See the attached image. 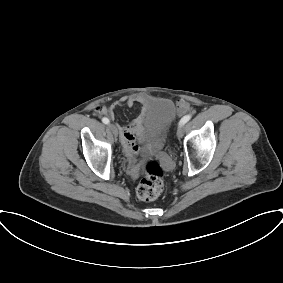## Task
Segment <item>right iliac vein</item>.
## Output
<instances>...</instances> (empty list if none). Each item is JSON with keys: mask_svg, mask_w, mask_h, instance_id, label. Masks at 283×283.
Here are the masks:
<instances>
[{"mask_svg": "<svg viewBox=\"0 0 283 283\" xmlns=\"http://www.w3.org/2000/svg\"><path fill=\"white\" fill-rule=\"evenodd\" d=\"M108 129L113 133L115 137L118 135V129L114 124H108Z\"/></svg>", "mask_w": 283, "mask_h": 283, "instance_id": "1", "label": "right iliac vein"}]
</instances>
